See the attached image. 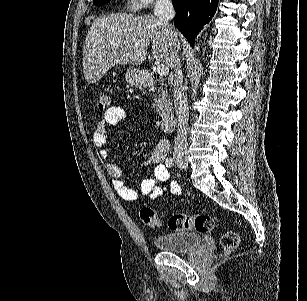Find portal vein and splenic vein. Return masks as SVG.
<instances>
[{"label": "portal vein and splenic vein", "mask_w": 307, "mask_h": 301, "mask_svg": "<svg viewBox=\"0 0 307 301\" xmlns=\"http://www.w3.org/2000/svg\"><path fill=\"white\" fill-rule=\"evenodd\" d=\"M157 72H159L160 76H167L169 68L166 64H157Z\"/></svg>", "instance_id": "obj_1"}]
</instances>
